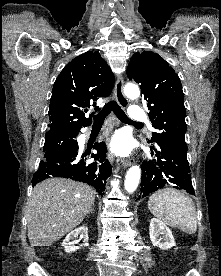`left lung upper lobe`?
<instances>
[{"label": "left lung upper lobe", "mask_w": 221, "mask_h": 276, "mask_svg": "<svg viewBox=\"0 0 221 276\" xmlns=\"http://www.w3.org/2000/svg\"><path fill=\"white\" fill-rule=\"evenodd\" d=\"M127 76L140 84L156 129L148 142L164 141L187 149L184 94L174 69L158 54L143 51L132 56Z\"/></svg>", "instance_id": "5c2ea615"}]
</instances>
